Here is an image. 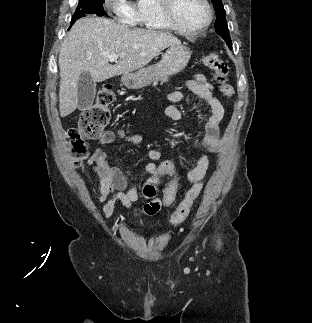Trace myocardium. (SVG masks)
<instances>
[{"label": "myocardium", "mask_w": 312, "mask_h": 323, "mask_svg": "<svg viewBox=\"0 0 312 323\" xmlns=\"http://www.w3.org/2000/svg\"><path fill=\"white\" fill-rule=\"evenodd\" d=\"M197 4L200 6V13H205L203 20H176V13L172 11L173 0H162L161 13L166 25H171L172 31H206V27L212 25L216 12L212 10L213 5L208 0H197Z\"/></svg>", "instance_id": "f54148a6"}]
</instances>
